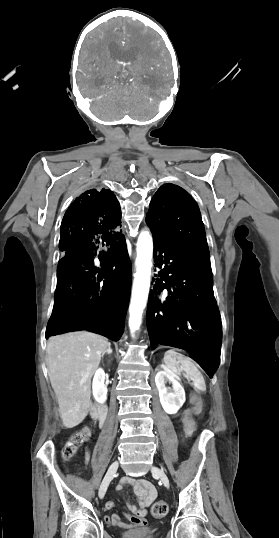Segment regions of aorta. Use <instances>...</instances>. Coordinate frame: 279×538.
I'll return each instance as SVG.
<instances>
[{"label": "aorta", "instance_id": "1", "mask_svg": "<svg viewBox=\"0 0 279 538\" xmlns=\"http://www.w3.org/2000/svg\"><path fill=\"white\" fill-rule=\"evenodd\" d=\"M136 251V273L129 307V328L132 334L141 325L142 314L147 304L150 288L153 239L149 232L142 231L140 233Z\"/></svg>", "mask_w": 279, "mask_h": 538}]
</instances>
